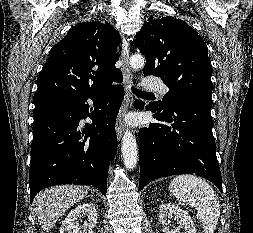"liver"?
<instances>
[{"label":"liver","mask_w":253,"mask_h":233,"mask_svg":"<svg viewBox=\"0 0 253 233\" xmlns=\"http://www.w3.org/2000/svg\"><path fill=\"white\" fill-rule=\"evenodd\" d=\"M88 190L81 186H55L40 192L34 200L38 222L49 231L55 222L75 203L85 198Z\"/></svg>","instance_id":"6515ba94"}]
</instances>
